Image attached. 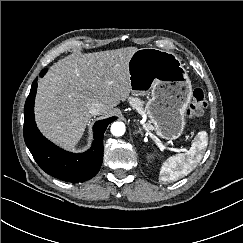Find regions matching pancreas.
Returning <instances> with one entry per match:
<instances>
[{
    "mask_svg": "<svg viewBox=\"0 0 243 243\" xmlns=\"http://www.w3.org/2000/svg\"><path fill=\"white\" fill-rule=\"evenodd\" d=\"M129 103L135 110H137V112L139 113L145 112V109L143 107L144 102L141 101L140 99L132 97L129 99ZM147 126L149 129H154V127L151 124H148Z\"/></svg>",
    "mask_w": 243,
    "mask_h": 243,
    "instance_id": "cf45deb5",
    "label": "pancreas"
}]
</instances>
